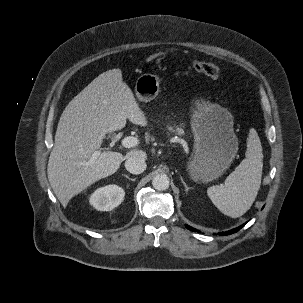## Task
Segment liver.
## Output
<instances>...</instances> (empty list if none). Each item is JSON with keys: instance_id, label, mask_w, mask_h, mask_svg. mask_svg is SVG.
Wrapping results in <instances>:
<instances>
[{"instance_id": "obj_1", "label": "liver", "mask_w": 303, "mask_h": 303, "mask_svg": "<svg viewBox=\"0 0 303 303\" xmlns=\"http://www.w3.org/2000/svg\"><path fill=\"white\" fill-rule=\"evenodd\" d=\"M147 126V119L119 68L103 72L64 109L48 161V180L60 203L69 201L96 181L114 174L124 160L146 159L141 150L119 152L99 149L106 134L121 130L126 121ZM96 151L100 155L90 161Z\"/></svg>"}]
</instances>
